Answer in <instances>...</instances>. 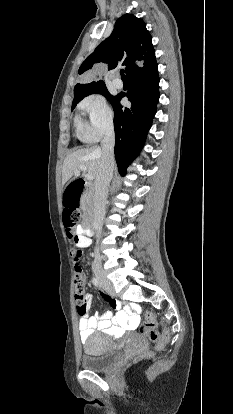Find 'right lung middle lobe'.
<instances>
[{
  "label": "right lung middle lobe",
  "instance_id": "1",
  "mask_svg": "<svg viewBox=\"0 0 233 414\" xmlns=\"http://www.w3.org/2000/svg\"><path fill=\"white\" fill-rule=\"evenodd\" d=\"M93 93H100V94L104 95L111 103L113 102V100L116 97V96L111 95L108 92V90H107V88H106L105 85H101V86H98V87L90 90L86 94H84V96L81 99L76 100V101H73L72 110L75 108L76 104L79 103L85 96H88V95L93 94Z\"/></svg>",
  "mask_w": 233,
  "mask_h": 414
}]
</instances>
